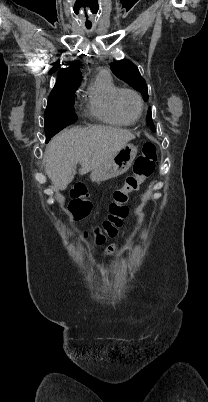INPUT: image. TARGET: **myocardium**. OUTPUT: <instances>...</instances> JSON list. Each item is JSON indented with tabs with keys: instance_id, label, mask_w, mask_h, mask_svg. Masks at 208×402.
Returning a JSON list of instances; mask_svg holds the SVG:
<instances>
[{
	"instance_id": "f54148a6",
	"label": "myocardium",
	"mask_w": 208,
	"mask_h": 402,
	"mask_svg": "<svg viewBox=\"0 0 208 402\" xmlns=\"http://www.w3.org/2000/svg\"><path fill=\"white\" fill-rule=\"evenodd\" d=\"M126 93L133 95L138 100L139 114L136 117H131V116L127 115L120 106V97H121V95L126 94ZM113 106L119 117H121L123 120L131 122V123L137 122L142 117L143 112H144V101H143L141 95L137 91H135L133 89H129V88H122L117 91V93L114 96Z\"/></svg>"
}]
</instances>
